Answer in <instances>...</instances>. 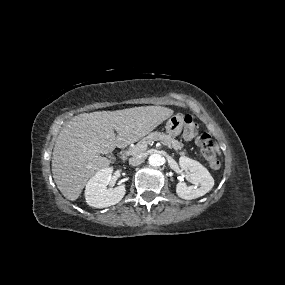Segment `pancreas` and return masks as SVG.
<instances>
[{"instance_id": "pancreas-1", "label": "pancreas", "mask_w": 285, "mask_h": 285, "mask_svg": "<svg viewBox=\"0 0 285 285\" xmlns=\"http://www.w3.org/2000/svg\"><path fill=\"white\" fill-rule=\"evenodd\" d=\"M161 140L166 144L168 147L173 148L176 151H179L183 148V144L177 140H175L170 135L161 132H152L148 136L144 137L140 140L134 147L130 148L126 151V155H139L146 151V147L148 144L152 143L153 141ZM181 155H185V151L180 152Z\"/></svg>"}]
</instances>
